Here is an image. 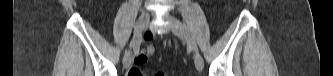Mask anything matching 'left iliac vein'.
<instances>
[{
	"instance_id": "left-iliac-vein-1",
	"label": "left iliac vein",
	"mask_w": 333,
	"mask_h": 76,
	"mask_svg": "<svg viewBox=\"0 0 333 76\" xmlns=\"http://www.w3.org/2000/svg\"><path fill=\"white\" fill-rule=\"evenodd\" d=\"M166 20L169 22V26L172 32L179 38H184L185 36V27L184 25L174 16L167 14ZM194 63L198 71H202L204 67V61L202 56L199 53L194 55Z\"/></svg>"
}]
</instances>
